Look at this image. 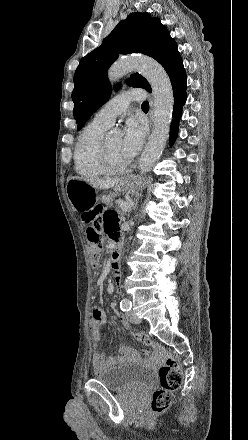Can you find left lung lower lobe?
I'll use <instances>...</instances> for the list:
<instances>
[{"label":"left lung lower lobe","instance_id":"0a47b994","mask_svg":"<svg viewBox=\"0 0 248 440\" xmlns=\"http://www.w3.org/2000/svg\"><path fill=\"white\" fill-rule=\"evenodd\" d=\"M172 88L174 93V110L173 120L170 131V144H172L176 138L178 131V123L181 117L182 106L186 102V75L174 78L172 81Z\"/></svg>","mask_w":248,"mask_h":440}]
</instances>
